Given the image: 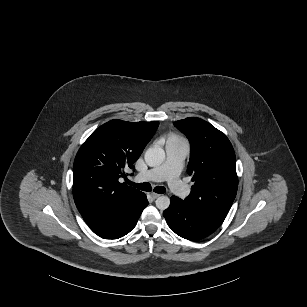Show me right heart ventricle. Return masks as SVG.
<instances>
[{
	"instance_id": "1",
	"label": "right heart ventricle",
	"mask_w": 307,
	"mask_h": 307,
	"mask_svg": "<svg viewBox=\"0 0 307 307\" xmlns=\"http://www.w3.org/2000/svg\"><path fill=\"white\" fill-rule=\"evenodd\" d=\"M180 140L177 137H171L168 142V147H179Z\"/></svg>"
}]
</instances>
